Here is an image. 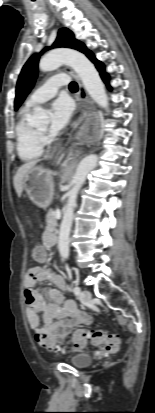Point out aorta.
I'll use <instances>...</instances> for the list:
<instances>
[{
	"instance_id": "aorta-1",
	"label": "aorta",
	"mask_w": 155,
	"mask_h": 413,
	"mask_svg": "<svg viewBox=\"0 0 155 413\" xmlns=\"http://www.w3.org/2000/svg\"><path fill=\"white\" fill-rule=\"evenodd\" d=\"M62 64L69 65L81 79L89 96L101 107L108 108V97L102 80L95 66L82 53L71 49H56L41 58L39 68L42 71H52ZM47 118L46 111L41 107H35L33 123L42 124ZM98 163V156L90 154L83 158L76 168L73 177V186L68 191L67 204L63 211V219L59 232V252L63 259L69 257V235L74 216V208L77 203L79 190L83 186L86 177Z\"/></svg>"
}]
</instances>
